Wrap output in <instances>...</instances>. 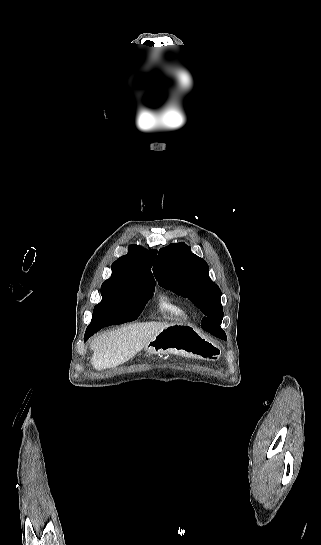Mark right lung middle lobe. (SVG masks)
I'll return each mask as SVG.
<instances>
[{
	"mask_svg": "<svg viewBox=\"0 0 321 545\" xmlns=\"http://www.w3.org/2000/svg\"><path fill=\"white\" fill-rule=\"evenodd\" d=\"M153 291V287L126 289L103 284L101 287L102 301L95 306L91 323H96L98 321V319L96 318V310L107 302L123 297H136L141 300L142 307L144 308L149 298L152 296Z\"/></svg>",
	"mask_w": 321,
	"mask_h": 545,
	"instance_id": "obj_1",
	"label": "right lung middle lobe"
}]
</instances>
